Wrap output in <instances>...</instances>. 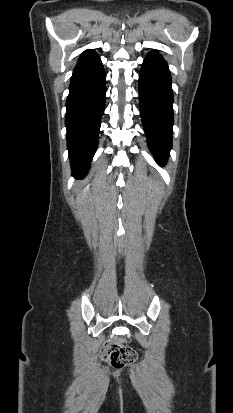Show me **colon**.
Listing matches in <instances>:
<instances>
[{
    "label": "colon",
    "mask_w": 233,
    "mask_h": 413,
    "mask_svg": "<svg viewBox=\"0 0 233 413\" xmlns=\"http://www.w3.org/2000/svg\"><path fill=\"white\" fill-rule=\"evenodd\" d=\"M101 356L114 368H122L136 360L135 350L117 340H108L101 347Z\"/></svg>",
    "instance_id": "5ec220e1"
}]
</instances>
